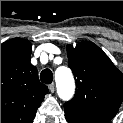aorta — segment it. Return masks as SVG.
Masks as SVG:
<instances>
[{
    "label": "aorta",
    "mask_w": 123,
    "mask_h": 123,
    "mask_svg": "<svg viewBox=\"0 0 123 123\" xmlns=\"http://www.w3.org/2000/svg\"><path fill=\"white\" fill-rule=\"evenodd\" d=\"M57 92L61 99L69 100L75 91V82L71 71L67 67H61L56 71Z\"/></svg>",
    "instance_id": "aorta-1"
}]
</instances>
